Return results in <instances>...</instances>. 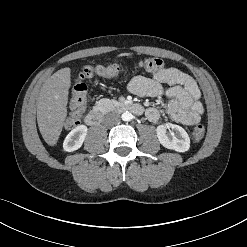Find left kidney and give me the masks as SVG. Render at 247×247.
Listing matches in <instances>:
<instances>
[{"instance_id":"5707ae66","label":"left kidney","mask_w":247,"mask_h":247,"mask_svg":"<svg viewBox=\"0 0 247 247\" xmlns=\"http://www.w3.org/2000/svg\"><path fill=\"white\" fill-rule=\"evenodd\" d=\"M170 128L172 129L171 131ZM159 142L167 149L177 152H186L190 148V139L187 132L179 125L162 124L156 128Z\"/></svg>"}]
</instances>
